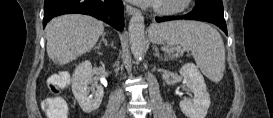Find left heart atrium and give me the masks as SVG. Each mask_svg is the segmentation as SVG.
Segmentation results:
<instances>
[{
	"mask_svg": "<svg viewBox=\"0 0 273 118\" xmlns=\"http://www.w3.org/2000/svg\"><path fill=\"white\" fill-rule=\"evenodd\" d=\"M136 3L146 4V5H156L160 0H133Z\"/></svg>",
	"mask_w": 273,
	"mask_h": 118,
	"instance_id": "39dd6f15",
	"label": "left heart atrium"
}]
</instances>
